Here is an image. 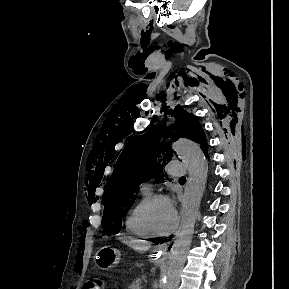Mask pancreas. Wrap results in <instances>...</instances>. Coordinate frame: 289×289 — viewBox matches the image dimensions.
Instances as JSON below:
<instances>
[{
	"instance_id": "pancreas-1",
	"label": "pancreas",
	"mask_w": 289,
	"mask_h": 289,
	"mask_svg": "<svg viewBox=\"0 0 289 289\" xmlns=\"http://www.w3.org/2000/svg\"><path fill=\"white\" fill-rule=\"evenodd\" d=\"M143 278H137L130 286L129 289H141Z\"/></svg>"
}]
</instances>
